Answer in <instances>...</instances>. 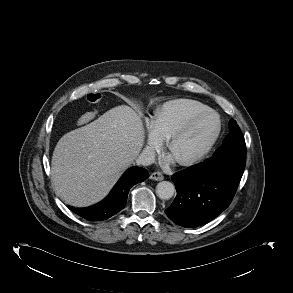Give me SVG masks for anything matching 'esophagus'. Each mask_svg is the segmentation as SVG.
<instances>
[{"mask_svg": "<svg viewBox=\"0 0 293 293\" xmlns=\"http://www.w3.org/2000/svg\"><path fill=\"white\" fill-rule=\"evenodd\" d=\"M150 179L155 180V181H161L164 179V176L161 172H153L150 175Z\"/></svg>", "mask_w": 293, "mask_h": 293, "instance_id": "1", "label": "esophagus"}]
</instances>
